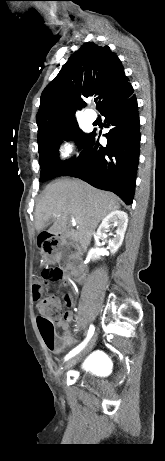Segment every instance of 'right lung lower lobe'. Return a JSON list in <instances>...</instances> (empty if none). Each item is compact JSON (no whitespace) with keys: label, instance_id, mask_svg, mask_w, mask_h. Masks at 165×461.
Instances as JSON below:
<instances>
[{"label":"right lung lower lobe","instance_id":"98d812e1","mask_svg":"<svg viewBox=\"0 0 165 461\" xmlns=\"http://www.w3.org/2000/svg\"><path fill=\"white\" fill-rule=\"evenodd\" d=\"M110 131L104 148L90 133L84 150L58 176H73L90 185L117 194L127 205L133 201L140 154L137 98L132 94L101 112ZM57 176V177H58Z\"/></svg>","mask_w":165,"mask_h":461}]
</instances>
